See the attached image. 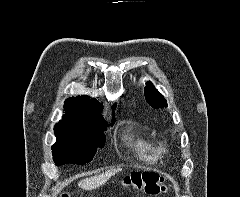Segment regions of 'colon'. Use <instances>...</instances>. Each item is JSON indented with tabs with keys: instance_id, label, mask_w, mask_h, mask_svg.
<instances>
[{
	"instance_id": "5ec220e1",
	"label": "colon",
	"mask_w": 240,
	"mask_h": 197,
	"mask_svg": "<svg viewBox=\"0 0 240 197\" xmlns=\"http://www.w3.org/2000/svg\"><path fill=\"white\" fill-rule=\"evenodd\" d=\"M125 183L151 195L165 191L164 178L157 173H134L125 179ZM62 197L68 196L63 194Z\"/></svg>"
}]
</instances>
